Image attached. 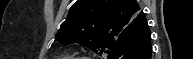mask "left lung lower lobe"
Wrapping results in <instances>:
<instances>
[{
  "mask_svg": "<svg viewBox=\"0 0 193 59\" xmlns=\"http://www.w3.org/2000/svg\"><path fill=\"white\" fill-rule=\"evenodd\" d=\"M108 59H152L151 33L145 15L114 43Z\"/></svg>",
  "mask_w": 193,
  "mask_h": 59,
  "instance_id": "left-lung-lower-lobe-1",
  "label": "left lung lower lobe"
}]
</instances>
